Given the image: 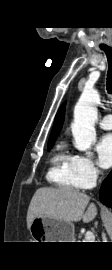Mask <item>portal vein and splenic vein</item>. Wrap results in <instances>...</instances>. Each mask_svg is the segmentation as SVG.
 <instances>
[{
	"instance_id": "portal-vein-and-splenic-vein-1",
	"label": "portal vein and splenic vein",
	"mask_w": 112,
	"mask_h": 270,
	"mask_svg": "<svg viewBox=\"0 0 112 270\" xmlns=\"http://www.w3.org/2000/svg\"><path fill=\"white\" fill-rule=\"evenodd\" d=\"M85 242H95V236L93 232L87 231L85 234Z\"/></svg>"
}]
</instances>
